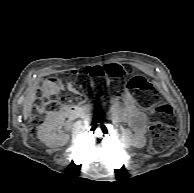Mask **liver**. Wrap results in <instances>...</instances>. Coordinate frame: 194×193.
I'll list each match as a JSON object with an SVG mask.
<instances>
[{"mask_svg":"<svg viewBox=\"0 0 194 193\" xmlns=\"http://www.w3.org/2000/svg\"><path fill=\"white\" fill-rule=\"evenodd\" d=\"M35 99H36V92H35V90H32L28 94V96L24 102V105H23L22 114H23V117L25 120H27V118H29V116L31 114L32 106H33Z\"/></svg>","mask_w":194,"mask_h":193,"instance_id":"6515ba94","label":"liver"}]
</instances>
